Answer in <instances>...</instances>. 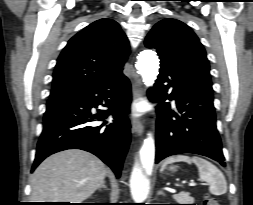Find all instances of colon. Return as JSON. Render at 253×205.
<instances>
[{"label":"colon","instance_id":"colon-1","mask_svg":"<svg viewBox=\"0 0 253 205\" xmlns=\"http://www.w3.org/2000/svg\"><path fill=\"white\" fill-rule=\"evenodd\" d=\"M204 205H220V204L215 198L206 196L204 198Z\"/></svg>","mask_w":253,"mask_h":205}]
</instances>
